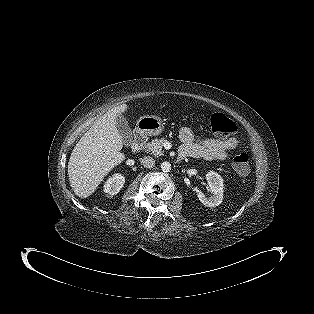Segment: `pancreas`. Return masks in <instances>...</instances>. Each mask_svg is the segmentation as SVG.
Instances as JSON below:
<instances>
[{
  "label": "pancreas",
  "mask_w": 314,
  "mask_h": 314,
  "mask_svg": "<svg viewBox=\"0 0 314 314\" xmlns=\"http://www.w3.org/2000/svg\"><path fill=\"white\" fill-rule=\"evenodd\" d=\"M165 142V138L152 140L145 146V150L147 152H151V154H153L154 156H162V148Z\"/></svg>",
  "instance_id": "obj_1"
}]
</instances>
